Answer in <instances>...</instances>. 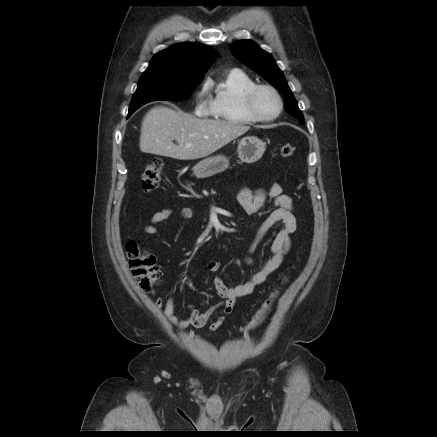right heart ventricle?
<instances>
[{"label": "right heart ventricle", "instance_id": "right-heart-ventricle-1", "mask_svg": "<svg viewBox=\"0 0 437 437\" xmlns=\"http://www.w3.org/2000/svg\"><path fill=\"white\" fill-rule=\"evenodd\" d=\"M255 81L244 71L232 69L208 84L213 91L211 113L232 124H250L252 119L245 108V95Z\"/></svg>", "mask_w": 437, "mask_h": 437}]
</instances>
